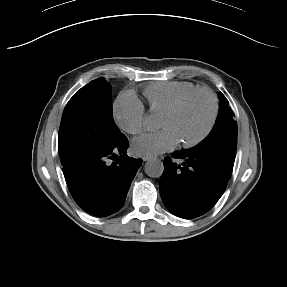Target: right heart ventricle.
Instances as JSON below:
<instances>
[{
	"label": "right heart ventricle",
	"mask_w": 287,
	"mask_h": 287,
	"mask_svg": "<svg viewBox=\"0 0 287 287\" xmlns=\"http://www.w3.org/2000/svg\"><path fill=\"white\" fill-rule=\"evenodd\" d=\"M196 86L186 81H166L153 83L144 89L150 110L155 114H163L179 98L195 89Z\"/></svg>",
	"instance_id": "right-heart-ventricle-1"
}]
</instances>
